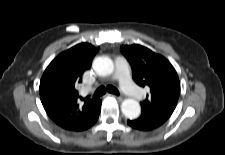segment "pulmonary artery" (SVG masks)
I'll list each match as a JSON object with an SVG mask.
<instances>
[{
  "label": "pulmonary artery",
  "instance_id": "pulmonary-artery-1",
  "mask_svg": "<svg viewBox=\"0 0 225 155\" xmlns=\"http://www.w3.org/2000/svg\"><path fill=\"white\" fill-rule=\"evenodd\" d=\"M115 78L119 80L122 90L130 97L139 100L142 97V93L133 83L128 64L123 57H118L116 60V72Z\"/></svg>",
  "mask_w": 225,
  "mask_h": 155
}]
</instances>
